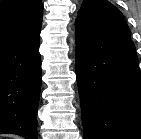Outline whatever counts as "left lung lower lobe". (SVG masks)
<instances>
[{"mask_svg":"<svg viewBox=\"0 0 141 139\" xmlns=\"http://www.w3.org/2000/svg\"><path fill=\"white\" fill-rule=\"evenodd\" d=\"M84 139H141V72L131 39L75 23Z\"/></svg>","mask_w":141,"mask_h":139,"instance_id":"left-lung-lower-lobe-1","label":"left lung lower lobe"}]
</instances>
